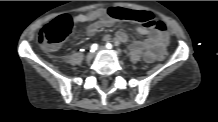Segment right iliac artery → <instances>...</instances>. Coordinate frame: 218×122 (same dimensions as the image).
<instances>
[{
    "label": "right iliac artery",
    "mask_w": 218,
    "mask_h": 122,
    "mask_svg": "<svg viewBox=\"0 0 218 122\" xmlns=\"http://www.w3.org/2000/svg\"><path fill=\"white\" fill-rule=\"evenodd\" d=\"M98 48V45L97 44H93L92 46H91V52H94L96 49Z\"/></svg>",
    "instance_id": "82829eb1"
}]
</instances>
